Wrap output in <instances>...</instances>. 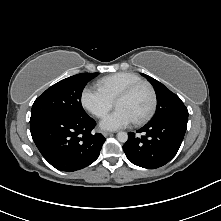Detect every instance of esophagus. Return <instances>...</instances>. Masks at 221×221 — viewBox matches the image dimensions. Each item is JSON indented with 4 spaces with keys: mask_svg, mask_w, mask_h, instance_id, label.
<instances>
[{
    "mask_svg": "<svg viewBox=\"0 0 221 221\" xmlns=\"http://www.w3.org/2000/svg\"><path fill=\"white\" fill-rule=\"evenodd\" d=\"M113 134V132H110V131H104L103 132V135L105 136V137H107V136H109V135H112Z\"/></svg>",
    "mask_w": 221,
    "mask_h": 221,
    "instance_id": "1",
    "label": "esophagus"
}]
</instances>
